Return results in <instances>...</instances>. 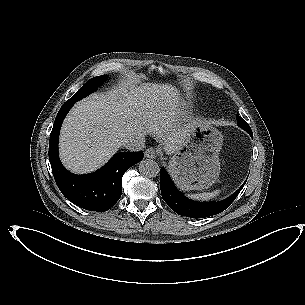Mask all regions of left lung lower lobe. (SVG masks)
Masks as SVG:
<instances>
[{
  "label": "left lung lower lobe",
  "mask_w": 305,
  "mask_h": 305,
  "mask_svg": "<svg viewBox=\"0 0 305 305\" xmlns=\"http://www.w3.org/2000/svg\"><path fill=\"white\" fill-rule=\"evenodd\" d=\"M160 189L161 194L164 201L168 204V206L175 211L176 213L184 216L190 214V209L187 207L189 204L192 206H200V210H198L199 214L197 215L198 218L209 217L212 215H216L224 211L230 204L235 200L237 195L240 192V189L231 195L229 198L215 203H198L191 201L185 198L173 185L171 179L169 178L168 174L166 173L164 168L160 170Z\"/></svg>",
  "instance_id": "left-lung-lower-lobe-1"
}]
</instances>
